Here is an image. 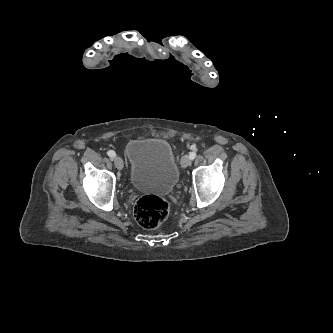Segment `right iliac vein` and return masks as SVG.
<instances>
[{
	"mask_svg": "<svg viewBox=\"0 0 333 333\" xmlns=\"http://www.w3.org/2000/svg\"><path fill=\"white\" fill-rule=\"evenodd\" d=\"M113 161H114L116 168L123 169L124 163H123V160L121 157L115 156Z\"/></svg>",
	"mask_w": 333,
	"mask_h": 333,
	"instance_id": "obj_1",
	"label": "right iliac vein"
}]
</instances>
